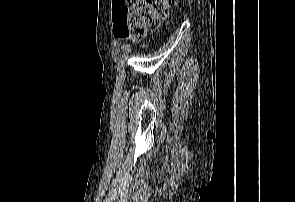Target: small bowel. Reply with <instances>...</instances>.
<instances>
[{
	"label": "small bowel",
	"instance_id": "small-bowel-1",
	"mask_svg": "<svg viewBox=\"0 0 295 202\" xmlns=\"http://www.w3.org/2000/svg\"><path fill=\"white\" fill-rule=\"evenodd\" d=\"M126 2L127 0H112V7L116 14L125 8Z\"/></svg>",
	"mask_w": 295,
	"mask_h": 202
}]
</instances>
